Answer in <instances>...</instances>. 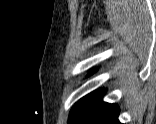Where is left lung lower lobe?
<instances>
[{
    "mask_svg": "<svg viewBox=\"0 0 156 124\" xmlns=\"http://www.w3.org/2000/svg\"><path fill=\"white\" fill-rule=\"evenodd\" d=\"M105 91L102 89L84 118L78 124H121L118 120L120 109L117 105L102 101Z\"/></svg>",
    "mask_w": 156,
    "mask_h": 124,
    "instance_id": "left-lung-lower-lobe-1",
    "label": "left lung lower lobe"
}]
</instances>
